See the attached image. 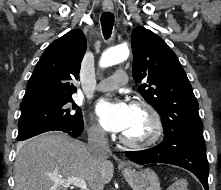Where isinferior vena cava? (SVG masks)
I'll use <instances>...</instances> for the list:
<instances>
[{"mask_svg": "<svg viewBox=\"0 0 221 190\" xmlns=\"http://www.w3.org/2000/svg\"><path fill=\"white\" fill-rule=\"evenodd\" d=\"M88 151L95 159H105L111 154L106 133L101 127H93L88 131Z\"/></svg>", "mask_w": 221, "mask_h": 190, "instance_id": "inferior-vena-cava-1", "label": "inferior vena cava"}]
</instances>
